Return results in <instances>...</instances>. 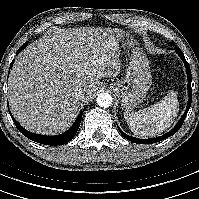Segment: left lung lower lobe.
<instances>
[{"label": "left lung lower lobe", "instance_id": "obj_1", "mask_svg": "<svg viewBox=\"0 0 199 199\" xmlns=\"http://www.w3.org/2000/svg\"><path fill=\"white\" fill-rule=\"evenodd\" d=\"M175 51L178 53V55L182 58V60L184 61L185 63V67H186V72H187V77H188V97H189V100H188V104H187V108H186V111L185 113L182 115V117L180 118V120L178 121V123L176 124V126L168 133L162 135V136H159V137H156V138H150V139H138V138H135V137H131L129 135H126L119 127V131L120 133L127 139V140H130L132 142H135V143H139V144H150V143H156V142H159L161 140H164L166 139L167 137H170L172 136L173 134H175L182 126L183 122H184V119L188 113V110L191 106V101H192V89H191V81H192V76H191V71H190V67L184 57V54L182 53V51L179 49V48H176Z\"/></svg>", "mask_w": 199, "mask_h": 199}]
</instances>
